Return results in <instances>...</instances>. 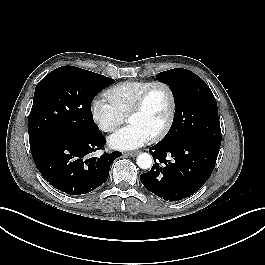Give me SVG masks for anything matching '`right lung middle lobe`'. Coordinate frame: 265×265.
<instances>
[{
    "mask_svg": "<svg viewBox=\"0 0 265 265\" xmlns=\"http://www.w3.org/2000/svg\"><path fill=\"white\" fill-rule=\"evenodd\" d=\"M111 78L62 66L36 86L28 118L29 141L59 135H88L99 132L91 114V102Z\"/></svg>",
    "mask_w": 265,
    "mask_h": 265,
    "instance_id": "1",
    "label": "right lung middle lobe"
}]
</instances>
